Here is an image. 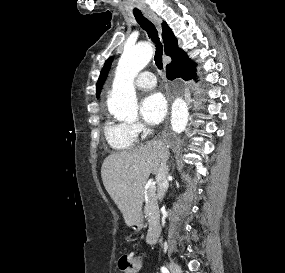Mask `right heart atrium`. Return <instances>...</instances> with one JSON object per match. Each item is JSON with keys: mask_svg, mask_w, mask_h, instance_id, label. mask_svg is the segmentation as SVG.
I'll use <instances>...</instances> for the list:
<instances>
[{"mask_svg": "<svg viewBox=\"0 0 285 273\" xmlns=\"http://www.w3.org/2000/svg\"><path fill=\"white\" fill-rule=\"evenodd\" d=\"M130 128H131V131L137 136L139 134H141L143 131H144V126L139 123V122H136V123H133V124H130Z\"/></svg>", "mask_w": 285, "mask_h": 273, "instance_id": "right-heart-atrium-1", "label": "right heart atrium"}]
</instances>
